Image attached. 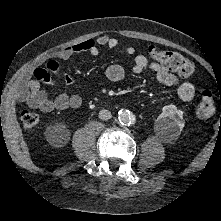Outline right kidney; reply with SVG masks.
Wrapping results in <instances>:
<instances>
[{
  "mask_svg": "<svg viewBox=\"0 0 221 221\" xmlns=\"http://www.w3.org/2000/svg\"><path fill=\"white\" fill-rule=\"evenodd\" d=\"M46 134L49 138L53 139L54 141L61 142L67 137L68 130L64 124L56 123L55 125L47 128Z\"/></svg>",
  "mask_w": 221,
  "mask_h": 221,
  "instance_id": "obj_1",
  "label": "right kidney"
}]
</instances>
